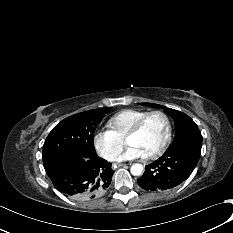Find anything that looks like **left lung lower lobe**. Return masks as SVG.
I'll use <instances>...</instances> for the list:
<instances>
[{
    "label": "left lung lower lobe",
    "instance_id": "0a47b994",
    "mask_svg": "<svg viewBox=\"0 0 233 233\" xmlns=\"http://www.w3.org/2000/svg\"><path fill=\"white\" fill-rule=\"evenodd\" d=\"M200 152L186 148L166 150L159 159L145 166V172L137 182L147 191L160 192L172 189L191 175Z\"/></svg>",
    "mask_w": 233,
    "mask_h": 233
}]
</instances>
